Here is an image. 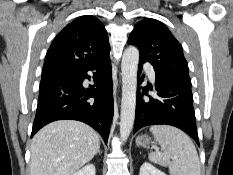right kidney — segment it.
I'll use <instances>...</instances> for the list:
<instances>
[{
	"instance_id": "right-kidney-1",
	"label": "right kidney",
	"mask_w": 233,
	"mask_h": 175,
	"mask_svg": "<svg viewBox=\"0 0 233 175\" xmlns=\"http://www.w3.org/2000/svg\"><path fill=\"white\" fill-rule=\"evenodd\" d=\"M96 169L93 164H88L85 167L81 168L77 172H75L73 175H95Z\"/></svg>"
}]
</instances>
